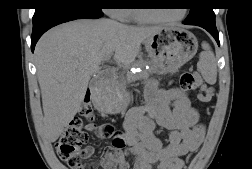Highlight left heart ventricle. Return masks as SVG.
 I'll list each match as a JSON object with an SVG mask.
<instances>
[{
  "label": "left heart ventricle",
  "mask_w": 252,
  "mask_h": 169,
  "mask_svg": "<svg viewBox=\"0 0 252 169\" xmlns=\"http://www.w3.org/2000/svg\"><path fill=\"white\" fill-rule=\"evenodd\" d=\"M145 14L154 18H174L180 14L179 9L172 10H144Z\"/></svg>",
  "instance_id": "1"
}]
</instances>
